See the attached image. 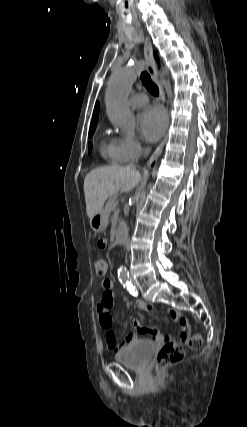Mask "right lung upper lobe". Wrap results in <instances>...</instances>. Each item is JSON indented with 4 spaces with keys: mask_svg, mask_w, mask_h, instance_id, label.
Instances as JSON below:
<instances>
[{
    "mask_svg": "<svg viewBox=\"0 0 247 427\" xmlns=\"http://www.w3.org/2000/svg\"><path fill=\"white\" fill-rule=\"evenodd\" d=\"M155 58L158 60L157 56H155ZM98 115H99V103L97 102L96 105H95V108H94V112H93V116H92V121H91V126H96L97 125Z\"/></svg>",
    "mask_w": 247,
    "mask_h": 427,
    "instance_id": "right-lung-upper-lobe-1",
    "label": "right lung upper lobe"
}]
</instances>
